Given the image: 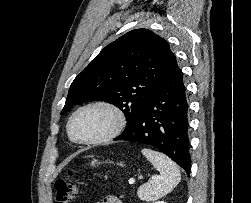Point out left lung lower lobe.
Here are the masks:
<instances>
[{
    "label": "left lung lower lobe",
    "instance_id": "0a47b994",
    "mask_svg": "<svg viewBox=\"0 0 251 203\" xmlns=\"http://www.w3.org/2000/svg\"><path fill=\"white\" fill-rule=\"evenodd\" d=\"M188 107L182 70L173 56L132 126L114 140L151 145L190 174Z\"/></svg>",
    "mask_w": 251,
    "mask_h": 203
}]
</instances>
